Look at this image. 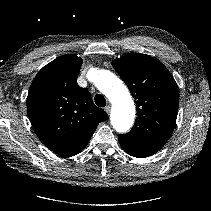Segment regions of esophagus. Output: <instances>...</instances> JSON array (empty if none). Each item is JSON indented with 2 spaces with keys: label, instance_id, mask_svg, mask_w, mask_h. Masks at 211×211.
<instances>
[{
  "label": "esophagus",
  "instance_id": "1",
  "mask_svg": "<svg viewBox=\"0 0 211 211\" xmlns=\"http://www.w3.org/2000/svg\"><path fill=\"white\" fill-rule=\"evenodd\" d=\"M110 109H111V107H110L109 105L105 107V111H106L108 114L110 113Z\"/></svg>",
  "mask_w": 211,
  "mask_h": 211
}]
</instances>
